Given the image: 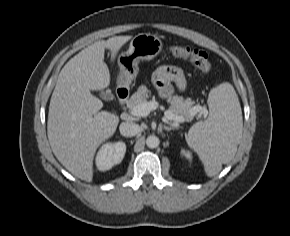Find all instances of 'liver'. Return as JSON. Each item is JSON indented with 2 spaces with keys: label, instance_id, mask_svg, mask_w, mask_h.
I'll use <instances>...</instances> for the list:
<instances>
[{
  "label": "liver",
  "instance_id": "1",
  "mask_svg": "<svg viewBox=\"0 0 290 236\" xmlns=\"http://www.w3.org/2000/svg\"><path fill=\"white\" fill-rule=\"evenodd\" d=\"M131 36H115L97 41L71 58L62 68L52 93L47 135L58 161L74 176L91 182L97 148L110 138L119 123L114 113L100 111L103 103L91 90L110 84L104 63L105 49L113 61Z\"/></svg>",
  "mask_w": 290,
  "mask_h": 236
}]
</instances>
